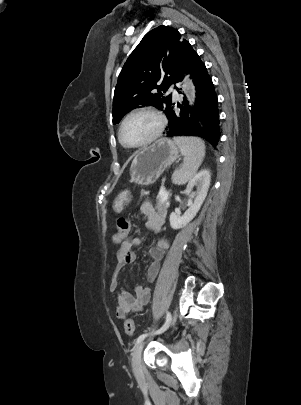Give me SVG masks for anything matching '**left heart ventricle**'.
<instances>
[{
	"label": "left heart ventricle",
	"instance_id": "b2bd125f",
	"mask_svg": "<svg viewBox=\"0 0 301 405\" xmlns=\"http://www.w3.org/2000/svg\"><path fill=\"white\" fill-rule=\"evenodd\" d=\"M157 119L150 114H139L131 117L125 124L122 137L130 145L139 144L156 131Z\"/></svg>",
	"mask_w": 301,
	"mask_h": 405
}]
</instances>
